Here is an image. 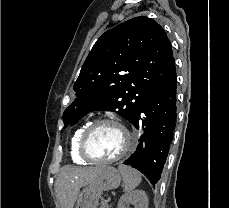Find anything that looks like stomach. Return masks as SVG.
<instances>
[{"instance_id": "1", "label": "stomach", "mask_w": 229, "mask_h": 208, "mask_svg": "<svg viewBox=\"0 0 229 208\" xmlns=\"http://www.w3.org/2000/svg\"><path fill=\"white\" fill-rule=\"evenodd\" d=\"M120 182V172L113 166H105L104 170L99 172L98 178H95L88 186H84L79 192L74 208H97L102 192L115 190Z\"/></svg>"}]
</instances>
